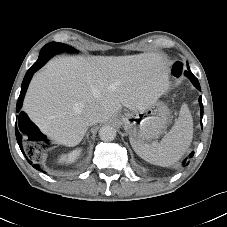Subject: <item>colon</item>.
Returning <instances> with one entry per match:
<instances>
[{"label":"colon","instance_id":"1","mask_svg":"<svg viewBox=\"0 0 227 227\" xmlns=\"http://www.w3.org/2000/svg\"><path fill=\"white\" fill-rule=\"evenodd\" d=\"M182 72V65L180 62H176L171 67V74L173 77H179ZM33 142L39 143L43 148L47 149L49 147V141L44 135H40L32 140ZM28 154L34 155V147L30 144L28 145Z\"/></svg>","mask_w":227,"mask_h":227}]
</instances>
